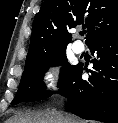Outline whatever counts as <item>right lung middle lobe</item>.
<instances>
[{
  "instance_id": "dd1d6c3e",
  "label": "right lung middle lobe",
  "mask_w": 118,
  "mask_h": 123,
  "mask_svg": "<svg viewBox=\"0 0 118 123\" xmlns=\"http://www.w3.org/2000/svg\"><path fill=\"white\" fill-rule=\"evenodd\" d=\"M65 50L40 57L25 67L12 105L20 102L40 101L52 94V92L45 91L46 86L43 83V75L49 69V66L63 65L58 87L63 86L69 80L77 65H70L67 62Z\"/></svg>"
}]
</instances>
